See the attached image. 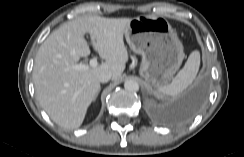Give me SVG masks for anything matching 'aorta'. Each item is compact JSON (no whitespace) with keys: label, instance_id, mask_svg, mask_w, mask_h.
<instances>
[{"label":"aorta","instance_id":"obj_1","mask_svg":"<svg viewBox=\"0 0 244 157\" xmlns=\"http://www.w3.org/2000/svg\"><path fill=\"white\" fill-rule=\"evenodd\" d=\"M124 88L129 92H137L139 90V84L134 79H128L124 82Z\"/></svg>","mask_w":244,"mask_h":157}]
</instances>
